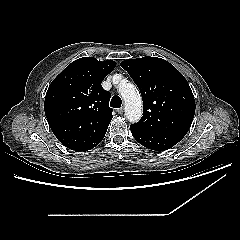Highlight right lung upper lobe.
<instances>
[{"label": "right lung upper lobe", "mask_w": 240, "mask_h": 240, "mask_svg": "<svg viewBox=\"0 0 240 240\" xmlns=\"http://www.w3.org/2000/svg\"><path fill=\"white\" fill-rule=\"evenodd\" d=\"M116 62L83 57L68 65L50 84L44 103L54 135L77 152L94 148L104 138L113 118L111 94L102 80Z\"/></svg>", "instance_id": "right-lung-upper-lobe-1"}]
</instances>
